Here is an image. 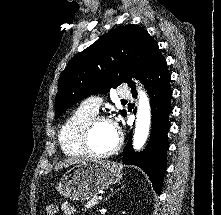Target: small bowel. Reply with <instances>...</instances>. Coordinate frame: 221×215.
Masks as SVG:
<instances>
[{
  "instance_id": "obj_1",
  "label": "small bowel",
  "mask_w": 221,
  "mask_h": 215,
  "mask_svg": "<svg viewBox=\"0 0 221 215\" xmlns=\"http://www.w3.org/2000/svg\"><path fill=\"white\" fill-rule=\"evenodd\" d=\"M61 210L65 215H73L75 208L71 203L65 202L61 205Z\"/></svg>"
}]
</instances>
